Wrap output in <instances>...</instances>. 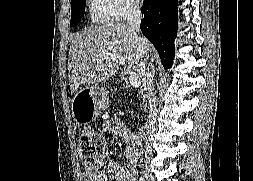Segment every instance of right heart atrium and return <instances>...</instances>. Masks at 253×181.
<instances>
[{"mask_svg":"<svg viewBox=\"0 0 253 181\" xmlns=\"http://www.w3.org/2000/svg\"><path fill=\"white\" fill-rule=\"evenodd\" d=\"M111 17L115 20H122L136 13L139 10L137 0H107Z\"/></svg>","mask_w":253,"mask_h":181,"instance_id":"d8ad5b80","label":"right heart atrium"}]
</instances>
